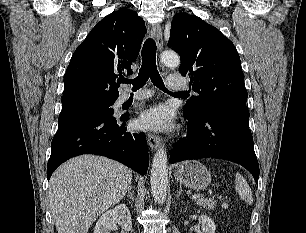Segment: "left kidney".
<instances>
[{
  "label": "left kidney",
  "mask_w": 306,
  "mask_h": 233,
  "mask_svg": "<svg viewBox=\"0 0 306 233\" xmlns=\"http://www.w3.org/2000/svg\"><path fill=\"white\" fill-rule=\"evenodd\" d=\"M202 233H215L216 225L214 221L207 215L201 214L199 217Z\"/></svg>",
  "instance_id": "obj_1"
}]
</instances>
